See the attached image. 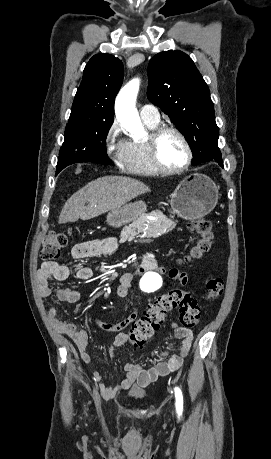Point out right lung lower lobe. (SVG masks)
I'll list each match as a JSON object with an SVG mask.
<instances>
[{"label":"right lung lower lobe","instance_id":"obj_1","mask_svg":"<svg viewBox=\"0 0 271 459\" xmlns=\"http://www.w3.org/2000/svg\"><path fill=\"white\" fill-rule=\"evenodd\" d=\"M60 171H61V170H60ZM60 171L57 169V172H56V174H58Z\"/></svg>","mask_w":271,"mask_h":459}]
</instances>
